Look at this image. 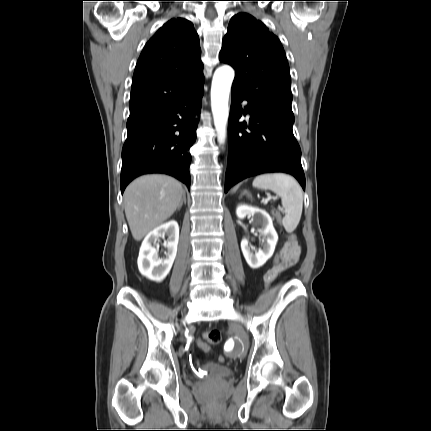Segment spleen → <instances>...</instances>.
<instances>
[{
  "label": "spleen",
  "instance_id": "3e777b00",
  "mask_svg": "<svg viewBox=\"0 0 431 431\" xmlns=\"http://www.w3.org/2000/svg\"><path fill=\"white\" fill-rule=\"evenodd\" d=\"M253 186L261 190H271L281 197L285 216L282 224L288 233L298 226L303 208V192L298 182L283 173L262 174L253 180Z\"/></svg>",
  "mask_w": 431,
  "mask_h": 431
}]
</instances>
